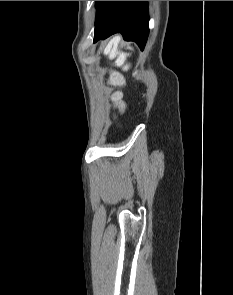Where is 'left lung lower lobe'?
<instances>
[{"instance_id":"1","label":"left lung lower lobe","mask_w":233,"mask_h":295,"mask_svg":"<svg viewBox=\"0 0 233 295\" xmlns=\"http://www.w3.org/2000/svg\"><path fill=\"white\" fill-rule=\"evenodd\" d=\"M94 42L120 32L143 50L149 33L147 1H97Z\"/></svg>"}]
</instances>
